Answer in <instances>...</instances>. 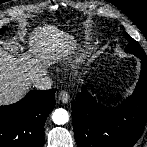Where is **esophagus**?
<instances>
[{
  "label": "esophagus",
  "mask_w": 147,
  "mask_h": 147,
  "mask_svg": "<svg viewBox=\"0 0 147 147\" xmlns=\"http://www.w3.org/2000/svg\"><path fill=\"white\" fill-rule=\"evenodd\" d=\"M59 100L63 103H68L69 100H70V96H69V93L65 90H62L60 93H59Z\"/></svg>",
  "instance_id": "esophagus-1"
}]
</instances>
